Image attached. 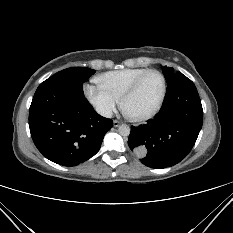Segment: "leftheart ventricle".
I'll return each mask as SVG.
<instances>
[{"instance_id": "obj_1", "label": "left heart ventricle", "mask_w": 233, "mask_h": 233, "mask_svg": "<svg viewBox=\"0 0 233 233\" xmlns=\"http://www.w3.org/2000/svg\"><path fill=\"white\" fill-rule=\"evenodd\" d=\"M162 80L156 73L149 74L138 90L126 101L125 109L132 115H143L151 111L159 101Z\"/></svg>"}]
</instances>
